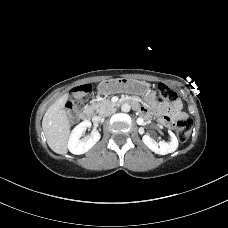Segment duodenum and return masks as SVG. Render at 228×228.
I'll use <instances>...</instances> for the list:
<instances>
[{
  "mask_svg": "<svg viewBox=\"0 0 228 228\" xmlns=\"http://www.w3.org/2000/svg\"><path fill=\"white\" fill-rule=\"evenodd\" d=\"M125 104H130L134 108H139V104L135 100H128L124 102ZM80 118L83 121H90L93 118V111L91 109H86L80 113Z\"/></svg>",
  "mask_w": 228,
  "mask_h": 228,
  "instance_id": "obj_1",
  "label": "duodenum"
}]
</instances>
